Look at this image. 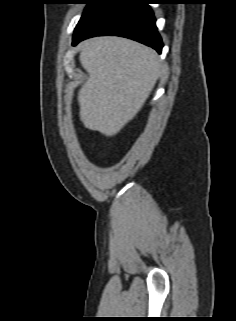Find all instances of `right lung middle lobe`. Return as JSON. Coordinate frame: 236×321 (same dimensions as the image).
Here are the masks:
<instances>
[{
  "label": "right lung middle lobe",
  "instance_id": "obj_1",
  "mask_svg": "<svg viewBox=\"0 0 236 321\" xmlns=\"http://www.w3.org/2000/svg\"><path fill=\"white\" fill-rule=\"evenodd\" d=\"M109 0H84V4H87L81 19L79 20L74 35L85 25V23L92 17L94 14L102 8Z\"/></svg>",
  "mask_w": 236,
  "mask_h": 321
}]
</instances>
